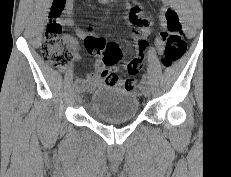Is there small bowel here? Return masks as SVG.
Returning a JSON list of instances; mask_svg holds the SVG:
<instances>
[{"instance_id":"small-bowel-1","label":"small bowel","mask_w":231,"mask_h":177,"mask_svg":"<svg viewBox=\"0 0 231 177\" xmlns=\"http://www.w3.org/2000/svg\"><path fill=\"white\" fill-rule=\"evenodd\" d=\"M57 1L61 13L60 16L58 17V22L61 26H66L70 28H74L75 31L77 32L78 35L84 36V34L75 28L74 20H73V4L74 0H54ZM165 1V0H162ZM103 2V1H102ZM166 8L164 7L163 11H165ZM126 18L128 22L134 26V28L143 36L147 35L150 32V26L153 23V20L150 17H145L142 16L141 14L138 13L137 7L132 6L129 7V10L126 14ZM162 22H165V17H161ZM65 39L70 43V45L73 47V49L76 51L74 54V59L79 60L80 55L77 52L78 51V42L77 40L71 36V35H66ZM156 49L158 53H162L164 50V42L162 41L161 38L157 39L155 42ZM133 48L137 49L138 48V43L135 38H133ZM100 70L90 76H88L84 80V85L87 90L92 91L94 88L102 85V84H107V85H113V83L110 82L108 79L107 75L103 74V71L106 69H102V64H99ZM108 72L112 73V71L108 70Z\"/></svg>"}]
</instances>
